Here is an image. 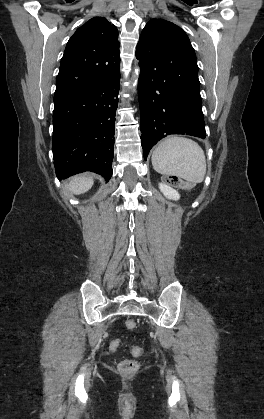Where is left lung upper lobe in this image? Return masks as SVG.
I'll use <instances>...</instances> for the list:
<instances>
[{
	"label": "left lung upper lobe",
	"mask_w": 264,
	"mask_h": 419,
	"mask_svg": "<svg viewBox=\"0 0 264 419\" xmlns=\"http://www.w3.org/2000/svg\"><path fill=\"white\" fill-rule=\"evenodd\" d=\"M157 43L163 46L161 65L166 74L198 79L196 55L183 29L163 19L149 21L140 35L136 52Z\"/></svg>",
	"instance_id": "left-lung-upper-lobe-1"
}]
</instances>
